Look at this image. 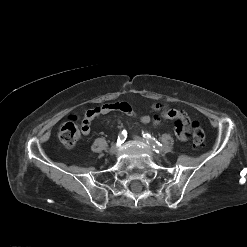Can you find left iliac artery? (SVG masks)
<instances>
[{"instance_id": "left-iliac-artery-1", "label": "left iliac artery", "mask_w": 247, "mask_h": 247, "mask_svg": "<svg viewBox=\"0 0 247 247\" xmlns=\"http://www.w3.org/2000/svg\"><path fill=\"white\" fill-rule=\"evenodd\" d=\"M143 137L146 139L147 143L153 147V150L156 153L162 152L163 151V146L160 142L155 140V138L151 137L149 133L142 132Z\"/></svg>"}]
</instances>
